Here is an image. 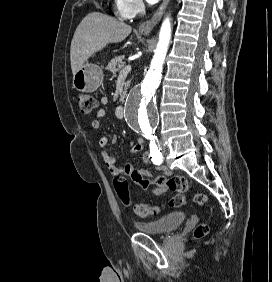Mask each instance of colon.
Listing matches in <instances>:
<instances>
[{
	"mask_svg": "<svg viewBox=\"0 0 272 282\" xmlns=\"http://www.w3.org/2000/svg\"><path fill=\"white\" fill-rule=\"evenodd\" d=\"M77 104L83 113H90L92 112L96 106L97 102L96 99L86 93H79L76 96ZM128 174V168H124L121 170L120 174H117L114 178V186L116 189V192L121 199V201L129 205L130 204V191L128 187V181L126 179V175ZM132 181L140 186L145 187L149 182L150 179L144 175H142L140 172L134 171L130 175ZM155 182L159 184H163L166 187H168L172 191H176L179 194L173 196L166 205L162 206H151L144 203L136 204L134 207V211L136 215L140 217H148L151 215L159 214L161 211V208L165 206L169 207H180L184 204V197L182 193H187L191 191V187L188 183V180L185 177L181 176H174L169 179L158 177L153 179ZM194 201L200 206L206 205L208 202V198L203 193H196L194 195ZM208 225L207 224H201L199 225L196 230L194 231V237L196 239H201L208 231Z\"/></svg>",
	"mask_w": 272,
	"mask_h": 282,
	"instance_id": "colon-1",
	"label": "colon"
}]
</instances>
